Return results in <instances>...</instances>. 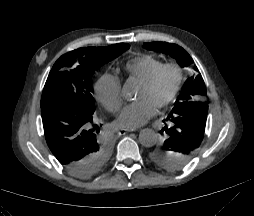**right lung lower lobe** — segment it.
<instances>
[{"label":"right lung lower lobe","mask_w":254,"mask_h":216,"mask_svg":"<svg viewBox=\"0 0 254 216\" xmlns=\"http://www.w3.org/2000/svg\"><path fill=\"white\" fill-rule=\"evenodd\" d=\"M41 115L46 142L56 159L76 177L96 174L102 144L92 114L53 103L43 107Z\"/></svg>","instance_id":"98d812e1"}]
</instances>
